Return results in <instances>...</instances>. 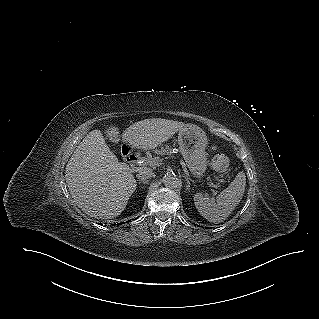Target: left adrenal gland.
<instances>
[{"mask_svg":"<svg viewBox=\"0 0 319 319\" xmlns=\"http://www.w3.org/2000/svg\"><path fill=\"white\" fill-rule=\"evenodd\" d=\"M186 181H187L186 188H187V190H189V188H190V182H189L188 178H186Z\"/></svg>","mask_w":319,"mask_h":319,"instance_id":"a2214340","label":"left adrenal gland"}]
</instances>
